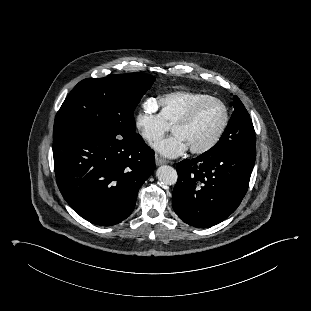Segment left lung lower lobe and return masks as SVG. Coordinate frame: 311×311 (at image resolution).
Returning a JSON list of instances; mask_svg holds the SVG:
<instances>
[{
	"mask_svg": "<svg viewBox=\"0 0 311 311\" xmlns=\"http://www.w3.org/2000/svg\"><path fill=\"white\" fill-rule=\"evenodd\" d=\"M255 158V147L239 146L177 163L172 194L175 213L197 228L225 220L247 192Z\"/></svg>",
	"mask_w": 311,
	"mask_h": 311,
	"instance_id": "obj_1",
	"label": "left lung lower lobe"
}]
</instances>
